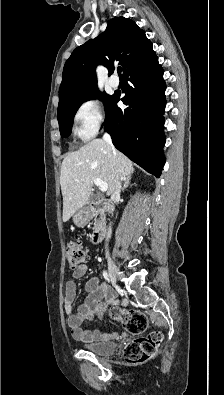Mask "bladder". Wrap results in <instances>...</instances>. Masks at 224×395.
I'll return each mask as SVG.
<instances>
[{
    "instance_id": "1",
    "label": "bladder",
    "mask_w": 224,
    "mask_h": 395,
    "mask_svg": "<svg viewBox=\"0 0 224 395\" xmlns=\"http://www.w3.org/2000/svg\"><path fill=\"white\" fill-rule=\"evenodd\" d=\"M116 344L113 342H89L82 344L85 351L99 356L111 355L116 350Z\"/></svg>"
}]
</instances>
